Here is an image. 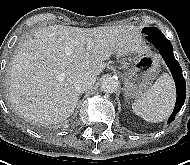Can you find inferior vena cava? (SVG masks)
<instances>
[{
  "label": "inferior vena cava",
  "instance_id": "inferior-vena-cava-1",
  "mask_svg": "<svg viewBox=\"0 0 190 165\" xmlns=\"http://www.w3.org/2000/svg\"><path fill=\"white\" fill-rule=\"evenodd\" d=\"M96 81V78L93 74H80L75 78L74 86L78 93H82L90 89Z\"/></svg>",
  "mask_w": 190,
  "mask_h": 165
}]
</instances>
